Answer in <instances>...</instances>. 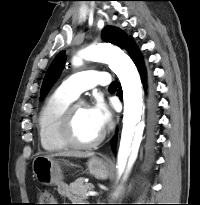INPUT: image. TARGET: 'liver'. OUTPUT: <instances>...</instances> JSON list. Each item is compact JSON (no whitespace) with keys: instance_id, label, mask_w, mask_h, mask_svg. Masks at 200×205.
<instances>
[{"instance_id":"6515ba94","label":"liver","mask_w":200,"mask_h":205,"mask_svg":"<svg viewBox=\"0 0 200 205\" xmlns=\"http://www.w3.org/2000/svg\"><path fill=\"white\" fill-rule=\"evenodd\" d=\"M54 156H67V157L73 156V157H79V158H86V157L93 156V153L80 152V151H64V152H59L57 154L49 155V157H54Z\"/></svg>"}]
</instances>
